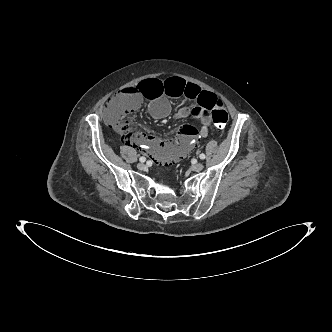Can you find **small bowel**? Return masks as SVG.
<instances>
[{
    "label": "small bowel",
    "instance_id": "small-bowel-1",
    "mask_svg": "<svg viewBox=\"0 0 332 332\" xmlns=\"http://www.w3.org/2000/svg\"><path fill=\"white\" fill-rule=\"evenodd\" d=\"M135 86L139 97L149 101L148 111L151 116L157 119L165 118L170 114L169 98L194 101L195 105L181 107L175 116L179 119L193 116L200 121V128L196 129L190 125L181 126L178 133L168 134L165 140L128 128L125 135L126 144L139 146L163 168H168L177 161L186 159L196 138H204L209 135L212 121L210 108L217 97L180 77L164 79L160 76H153L142 78L136 82Z\"/></svg>",
    "mask_w": 332,
    "mask_h": 332
}]
</instances>
